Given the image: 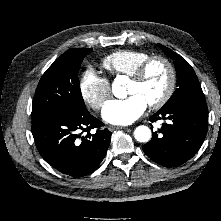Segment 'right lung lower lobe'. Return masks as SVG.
I'll use <instances>...</instances> for the list:
<instances>
[{
  "label": "right lung lower lobe",
  "mask_w": 221,
  "mask_h": 221,
  "mask_svg": "<svg viewBox=\"0 0 221 221\" xmlns=\"http://www.w3.org/2000/svg\"><path fill=\"white\" fill-rule=\"evenodd\" d=\"M103 123L87 109L65 110L58 113L32 118V133L36 147L51 166L63 174L82 177L97 168L110 144L111 132L98 129ZM87 132L86 137L81 136Z\"/></svg>",
  "instance_id": "right-lung-lower-lobe-1"
}]
</instances>
